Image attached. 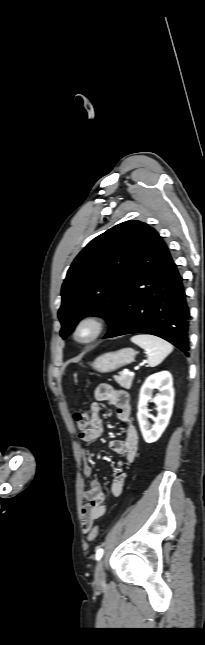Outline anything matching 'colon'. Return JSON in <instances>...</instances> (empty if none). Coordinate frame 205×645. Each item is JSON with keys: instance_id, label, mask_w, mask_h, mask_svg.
I'll return each instance as SVG.
<instances>
[{"instance_id": "5ec220e1", "label": "colon", "mask_w": 205, "mask_h": 645, "mask_svg": "<svg viewBox=\"0 0 205 645\" xmlns=\"http://www.w3.org/2000/svg\"><path fill=\"white\" fill-rule=\"evenodd\" d=\"M92 413L90 410H79L74 413V420L81 431H85L91 423ZM98 526L92 527L88 532V541L93 542L98 536Z\"/></svg>"}]
</instances>
